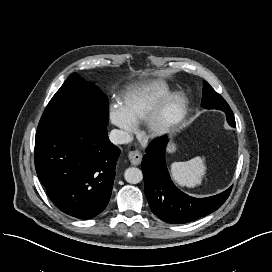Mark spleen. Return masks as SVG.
Segmentation results:
<instances>
[{
	"instance_id": "obj_1",
	"label": "spleen",
	"mask_w": 272,
	"mask_h": 272,
	"mask_svg": "<svg viewBox=\"0 0 272 272\" xmlns=\"http://www.w3.org/2000/svg\"><path fill=\"white\" fill-rule=\"evenodd\" d=\"M206 172L204 157H195L186 162H174L170 165L173 181L180 187L194 188L201 184Z\"/></svg>"
}]
</instances>
